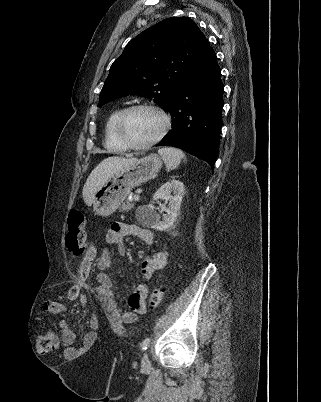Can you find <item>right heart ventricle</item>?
Masks as SVG:
<instances>
[{"label": "right heart ventricle", "instance_id": "obj_1", "mask_svg": "<svg viewBox=\"0 0 321 402\" xmlns=\"http://www.w3.org/2000/svg\"><path fill=\"white\" fill-rule=\"evenodd\" d=\"M122 110V108H118L112 111L104 126V146L113 153H123L126 151L125 146L120 142L115 131L116 120Z\"/></svg>", "mask_w": 321, "mask_h": 402}]
</instances>
